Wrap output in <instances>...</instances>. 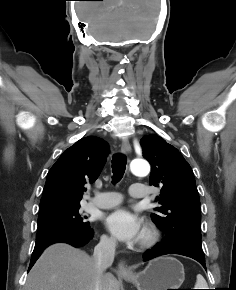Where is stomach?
Listing matches in <instances>:
<instances>
[{"label": "stomach", "mask_w": 236, "mask_h": 290, "mask_svg": "<svg viewBox=\"0 0 236 290\" xmlns=\"http://www.w3.org/2000/svg\"><path fill=\"white\" fill-rule=\"evenodd\" d=\"M122 278L134 284L137 290H169L179 289L185 273L179 260L164 256L151 260L143 271Z\"/></svg>", "instance_id": "stomach-1"}]
</instances>
